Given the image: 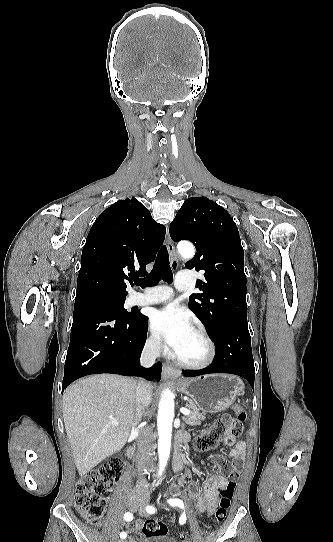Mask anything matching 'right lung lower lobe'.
I'll return each instance as SVG.
<instances>
[{"instance_id": "obj_1", "label": "right lung lower lobe", "mask_w": 333, "mask_h": 542, "mask_svg": "<svg viewBox=\"0 0 333 542\" xmlns=\"http://www.w3.org/2000/svg\"><path fill=\"white\" fill-rule=\"evenodd\" d=\"M108 259L109 252L103 249L88 253V261L93 264H101ZM135 313L134 317L120 316L93 295L75 298L62 390L80 377L97 373L141 376L160 381V362L148 369L140 366L148 317L138 311Z\"/></svg>"}]
</instances>
